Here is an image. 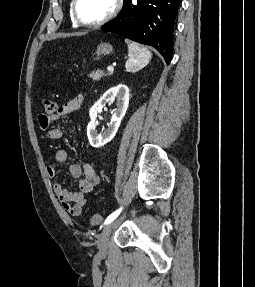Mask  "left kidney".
<instances>
[{"mask_svg":"<svg viewBox=\"0 0 255 287\" xmlns=\"http://www.w3.org/2000/svg\"><path fill=\"white\" fill-rule=\"evenodd\" d=\"M114 100H116L117 108L112 114L111 122L107 124V130H102L101 134H97L96 126L99 124V122H97V114H99L102 108H105L106 104H111ZM128 106L129 88H127L125 84H118V86L110 88V90H107V92L101 96L98 102H95L89 112L90 122L87 126L88 140L93 147H101V145L108 144L110 140H113Z\"/></svg>","mask_w":255,"mask_h":287,"instance_id":"1","label":"left kidney"}]
</instances>
